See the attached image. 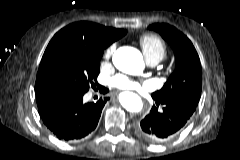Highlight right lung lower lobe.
I'll list each match as a JSON object with an SVG mask.
<instances>
[{"label": "right lung lower lobe", "instance_id": "1", "mask_svg": "<svg viewBox=\"0 0 240 160\" xmlns=\"http://www.w3.org/2000/svg\"><path fill=\"white\" fill-rule=\"evenodd\" d=\"M101 93L108 92L99 85ZM108 98L83 102V95L52 93L37 97L39 114L44 124L60 140L75 141L89 135L97 126Z\"/></svg>", "mask_w": 240, "mask_h": 160}]
</instances>
